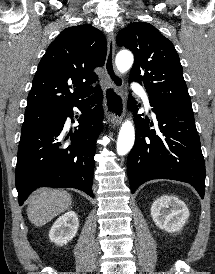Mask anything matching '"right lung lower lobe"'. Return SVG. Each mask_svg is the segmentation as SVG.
<instances>
[{"label":"right lung lower lobe","instance_id":"obj_1","mask_svg":"<svg viewBox=\"0 0 215 274\" xmlns=\"http://www.w3.org/2000/svg\"><path fill=\"white\" fill-rule=\"evenodd\" d=\"M93 106L86 99L60 109L50 121L21 135L16 165L19 205L38 187H72L94 198L92 192L96 139L102 131L101 89ZM73 107L82 111L79 126L67 134L65 121Z\"/></svg>","mask_w":215,"mask_h":274}]
</instances>
